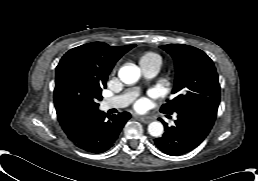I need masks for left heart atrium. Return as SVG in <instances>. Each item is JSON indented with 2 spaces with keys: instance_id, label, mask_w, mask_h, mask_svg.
I'll list each match as a JSON object with an SVG mask.
<instances>
[{
  "instance_id": "obj_1",
  "label": "left heart atrium",
  "mask_w": 258,
  "mask_h": 181,
  "mask_svg": "<svg viewBox=\"0 0 258 181\" xmlns=\"http://www.w3.org/2000/svg\"><path fill=\"white\" fill-rule=\"evenodd\" d=\"M145 105V100H139L137 103H136V108L137 109H141L143 108Z\"/></svg>"
}]
</instances>
